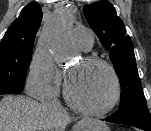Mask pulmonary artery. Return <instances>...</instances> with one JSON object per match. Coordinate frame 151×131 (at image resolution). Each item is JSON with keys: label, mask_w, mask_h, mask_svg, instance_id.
<instances>
[{"label": "pulmonary artery", "mask_w": 151, "mask_h": 131, "mask_svg": "<svg viewBox=\"0 0 151 131\" xmlns=\"http://www.w3.org/2000/svg\"><path fill=\"white\" fill-rule=\"evenodd\" d=\"M73 37L81 49L88 51L92 48L94 43V35L91 30L83 27H76L73 30Z\"/></svg>", "instance_id": "e3ab8cb5"}]
</instances>
